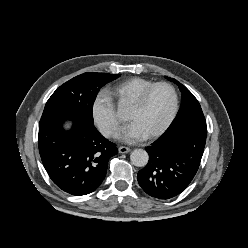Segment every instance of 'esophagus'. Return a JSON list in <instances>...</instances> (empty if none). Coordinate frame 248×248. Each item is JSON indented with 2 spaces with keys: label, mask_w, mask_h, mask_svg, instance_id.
<instances>
[{
  "label": "esophagus",
  "mask_w": 248,
  "mask_h": 248,
  "mask_svg": "<svg viewBox=\"0 0 248 248\" xmlns=\"http://www.w3.org/2000/svg\"><path fill=\"white\" fill-rule=\"evenodd\" d=\"M118 151H119V153H128V152H130L131 151V149L130 148H128V147H125V146H120L119 148H118Z\"/></svg>",
  "instance_id": "34e87169"
}]
</instances>
